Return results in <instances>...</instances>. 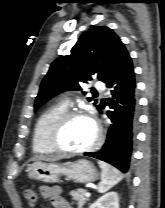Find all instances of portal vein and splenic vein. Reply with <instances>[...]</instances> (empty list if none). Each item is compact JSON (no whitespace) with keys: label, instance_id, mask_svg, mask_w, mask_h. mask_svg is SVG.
<instances>
[{"label":"portal vein and splenic vein","instance_id":"portal-vein-and-splenic-vein-1","mask_svg":"<svg viewBox=\"0 0 165 208\" xmlns=\"http://www.w3.org/2000/svg\"><path fill=\"white\" fill-rule=\"evenodd\" d=\"M85 196H86V197H90V193H89V192H86V193H85Z\"/></svg>","mask_w":165,"mask_h":208}]
</instances>
